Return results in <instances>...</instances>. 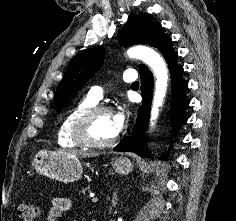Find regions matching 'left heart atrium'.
Masks as SVG:
<instances>
[{
    "instance_id": "39dd6f15",
    "label": "left heart atrium",
    "mask_w": 236,
    "mask_h": 221,
    "mask_svg": "<svg viewBox=\"0 0 236 221\" xmlns=\"http://www.w3.org/2000/svg\"><path fill=\"white\" fill-rule=\"evenodd\" d=\"M112 116L114 128L116 133L118 134L125 128L128 122V113L125 109H120L114 114H112Z\"/></svg>"
}]
</instances>
